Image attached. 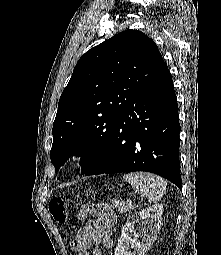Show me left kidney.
<instances>
[{
  "label": "left kidney",
  "instance_id": "obj_1",
  "mask_svg": "<svg viewBox=\"0 0 221 255\" xmlns=\"http://www.w3.org/2000/svg\"><path fill=\"white\" fill-rule=\"evenodd\" d=\"M162 214L163 205L155 204L131 215L121 230L115 255H145L160 230Z\"/></svg>",
  "mask_w": 221,
  "mask_h": 255
}]
</instances>
